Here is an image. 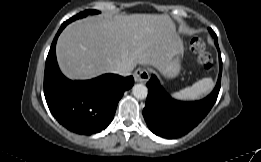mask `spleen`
I'll use <instances>...</instances> for the list:
<instances>
[{
	"instance_id": "obj_1",
	"label": "spleen",
	"mask_w": 261,
	"mask_h": 162,
	"mask_svg": "<svg viewBox=\"0 0 261 162\" xmlns=\"http://www.w3.org/2000/svg\"><path fill=\"white\" fill-rule=\"evenodd\" d=\"M214 86L211 78H203L195 82L192 86L186 87L179 92L172 94L173 98L178 100H195L209 93Z\"/></svg>"
}]
</instances>
